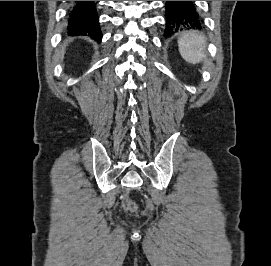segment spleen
Returning <instances> with one entry per match:
<instances>
[{
	"label": "spleen",
	"instance_id": "spleen-1",
	"mask_svg": "<svg viewBox=\"0 0 271 266\" xmlns=\"http://www.w3.org/2000/svg\"><path fill=\"white\" fill-rule=\"evenodd\" d=\"M178 48L186 62L197 64L206 57V38L199 32H183L178 40Z\"/></svg>",
	"mask_w": 271,
	"mask_h": 266
}]
</instances>
